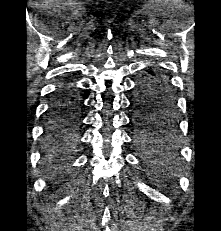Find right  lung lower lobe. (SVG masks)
<instances>
[{
  "label": "right lung lower lobe",
  "mask_w": 221,
  "mask_h": 231,
  "mask_svg": "<svg viewBox=\"0 0 221 231\" xmlns=\"http://www.w3.org/2000/svg\"><path fill=\"white\" fill-rule=\"evenodd\" d=\"M60 102H69V103H79L80 104V97L76 93V90L73 86L70 85H63L60 86L56 93V97L54 101Z\"/></svg>",
  "instance_id": "1"
}]
</instances>
